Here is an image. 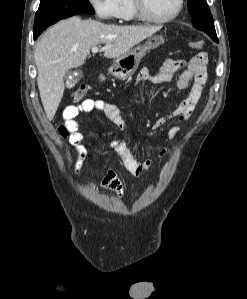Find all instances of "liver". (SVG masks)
I'll list each match as a JSON object with an SVG mask.
<instances>
[{"label":"liver","instance_id":"6515ba94","mask_svg":"<svg viewBox=\"0 0 247 299\" xmlns=\"http://www.w3.org/2000/svg\"><path fill=\"white\" fill-rule=\"evenodd\" d=\"M162 26H118L78 16L59 21L41 37L35 50L37 85L48 120L63 97L64 76L85 63L90 50L105 44L104 57L117 58L159 31Z\"/></svg>","mask_w":247,"mask_h":299}]
</instances>
